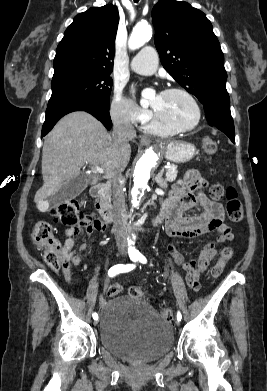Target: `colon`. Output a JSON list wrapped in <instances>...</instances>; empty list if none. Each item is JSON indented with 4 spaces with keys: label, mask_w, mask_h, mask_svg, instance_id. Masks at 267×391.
Segmentation results:
<instances>
[{
    "label": "colon",
    "mask_w": 267,
    "mask_h": 391,
    "mask_svg": "<svg viewBox=\"0 0 267 391\" xmlns=\"http://www.w3.org/2000/svg\"><path fill=\"white\" fill-rule=\"evenodd\" d=\"M202 149L206 156H212L217 152L218 144L213 138L204 137ZM210 195L215 200L225 197L227 214L232 222H240L243 219L242 202L235 188L228 187L224 189L221 185L215 184L211 187ZM49 212L56 222L68 226H77L92 220L91 217L81 214L80 202L76 199H68L51 205ZM31 239L35 247L42 251L45 262L52 269L60 270L63 268L64 260L60 253V246L49 223L44 221L37 222L32 229ZM232 255L233 250L230 247H225L221 250L220 257L212 268V277L216 278L222 273L226 262L231 259ZM120 291L121 286L117 283L109 285L107 290L108 295L111 297L117 296ZM144 294L145 291L141 287L135 286L129 290L130 296L144 298ZM161 316L168 323L173 320L171 309H163Z\"/></svg>",
    "instance_id": "obj_1"
}]
</instances>
